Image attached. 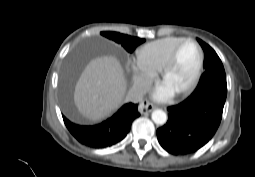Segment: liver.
I'll list each match as a JSON object with an SVG mask.
<instances>
[{"label":"liver","instance_id":"6515ba94","mask_svg":"<svg viewBox=\"0 0 255 177\" xmlns=\"http://www.w3.org/2000/svg\"><path fill=\"white\" fill-rule=\"evenodd\" d=\"M125 92L120 62L106 55L87 64L75 85L74 103L84 117L99 121L121 105Z\"/></svg>","mask_w":255,"mask_h":177}]
</instances>
